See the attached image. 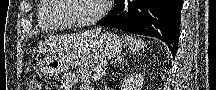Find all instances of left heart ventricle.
<instances>
[{"label": "left heart ventricle", "instance_id": "b2bd125f", "mask_svg": "<svg viewBox=\"0 0 216 90\" xmlns=\"http://www.w3.org/2000/svg\"><path fill=\"white\" fill-rule=\"evenodd\" d=\"M68 1L70 9L67 13H62V16L69 21L78 22L88 20L94 17L101 8L99 0H64Z\"/></svg>", "mask_w": 216, "mask_h": 90}]
</instances>
